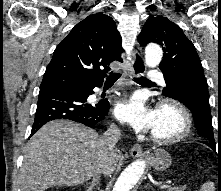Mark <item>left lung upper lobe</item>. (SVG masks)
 Wrapping results in <instances>:
<instances>
[{
  "label": "left lung upper lobe",
  "instance_id": "5c2ea615",
  "mask_svg": "<svg viewBox=\"0 0 221 191\" xmlns=\"http://www.w3.org/2000/svg\"><path fill=\"white\" fill-rule=\"evenodd\" d=\"M139 43L159 44L164 51V58L159 68L164 74L166 87L163 94L187 105L185 93L194 80H206L201 61L191 41L182 30L167 17L156 16L146 21L139 37ZM199 135L202 142L215 149V139L211 120L203 121ZM207 122V123H206Z\"/></svg>",
  "mask_w": 221,
  "mask_h": 191
}]
</instances>
